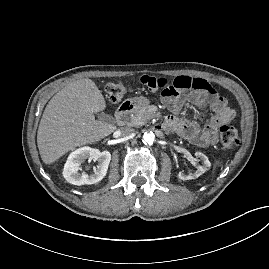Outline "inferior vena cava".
I'll return each mask as SVG.
<instances>
[{
    "instance_id": "602c4592",
    "label": "inferior vena cava",
    "mask_w": 269,
    "mask_h": 269,
    "mask_svg": "<svg viewBox=\"0 0 269 269\" xmlns=\"http://www.w3.org/2000/svg\"><path fill=\"white\" fill-rule=\"evenodd\" d=\"M122 136H131L134 133V129L131 127H123L120 130Z\"/></svg>"
}]
</instances>
